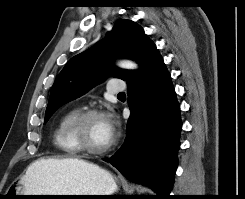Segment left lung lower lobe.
<instances>
[{
    "mask_svg": "<svg viewBox=\"0 0 245 199\" xmlns=\"http://www.w3.org/2000/svg\"><path fill=\"white\" fill-rule=\"evenodd\" d=\"M127 86L131 110L127 137L119 151L104 161L131 182L149 186L158 199H167L177 169L182 123L171 76L158 50Z\"/></svg>",
    "mask_w": 245,
    "mask_h": 199,
    "instance_id": "1",
    "label": "left lung lower lobe"
}]
</instances>
